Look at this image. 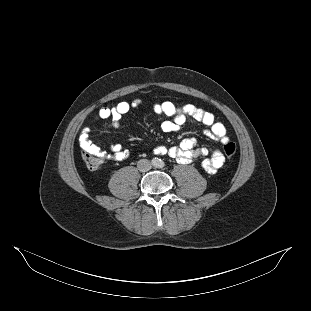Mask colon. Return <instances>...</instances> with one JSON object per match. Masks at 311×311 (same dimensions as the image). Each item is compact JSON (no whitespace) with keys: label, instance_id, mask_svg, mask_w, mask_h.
Masks as SVG:
<instances>
[{"label":"colon","instance_id":"colon-1","mask_svg":"<svg viewBox=\"0 0 311 311\" xmlns=\"http://www.w3.org/2000/svg\"><path fill=\"white\" fill-rule=\"evenodd\" d=\"M223 151L227 158H232L236 153L235 143L228 142ZM82 156L86 166L91 170L98 169L103 162L101 154L93 150H83Z\"/></svg>","mask_w":311,"mask_h":311}]
</instances>
